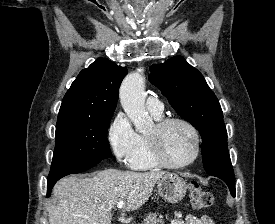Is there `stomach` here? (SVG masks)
Returning <instances> with one entry per match:
<instances>
[{"label": "stomach", "instance_id": "0dacf381", "mask_svg": "<svg viewBox=\"0 0 275 224\" xmlns=\"http://www.w3.org/2000/svg\"><path fill=\"white\" fill-rule=\"evenodd\" d=\"M187 187L186 181L174 173L165 174L157 182L159 195L169 203L181 201L186 195Z\"/></svg>", "mask_w": 275, "mask_h": 224}]
</instances>
